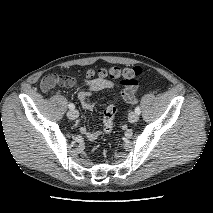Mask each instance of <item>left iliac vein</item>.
<instances>
[{
  "instance_id": "left-iliac-vein-1",
  "label": "left iliac vein",
  "mask_w": 213,
  "mask_h": 213,
  "mask_svg": "<svg viewBox=\"0 0 213 213\" xmlns=\"http://www.w3.org/2000/svg\"><path fill=\"white\" fill-rule=\"evenodd\" d=\"M139 119V115L136 112H131L128 116V120L130 123H135Z\"/></svg>"
}]
</instances>
